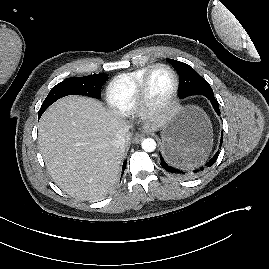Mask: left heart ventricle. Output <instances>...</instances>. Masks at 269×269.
I'll return each mask as SVG.
<instances>
[{
  "instance_id": "left-heart-ventricle-1",
  "label": "left heart ventricle",
  "mask_w": 269,
  "mask_h": 269,
  "mask_svg": "<svg viewBox=\"0 0 269 269\" xmlns=\"http://www.w3.org/2000/svg\"><path fill=\"white\" fill-rule=\"evenodd\" d=\"M173 78L165 68L155 69L148 81L147 96L151 103L158 104L165 100L171 91Z\"/></svg>"
}]
</instances>
